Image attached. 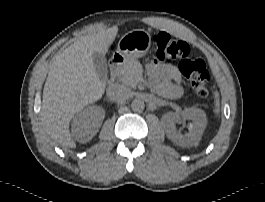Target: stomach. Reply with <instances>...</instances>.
Wrapping results in <instances>:
<instances>
[{
  "mask_svg": "<svg viewBox=\"0 0 265 202\" xmlns=\"http://www.w3.org/2000/svg\"><path fill=\"white\" fill-rule=\"evenodd\" d=\"M150 46V34L143 29H135L121 37L118 42L117 53L128 61L145 56Z\"/></svg>",
  "mask_w": 265,
  "mask_h": 202,
  "instance_id": "0dacf381",
  "label": "stomach"
}]
</instances>
